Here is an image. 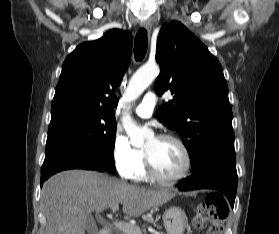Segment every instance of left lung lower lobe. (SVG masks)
<instances>
[{
	"label": "left lung lower lobe",
	"instance_id": "left-lung-lower-lobe-1",
	"mask_svg": "<svg viewBox=\"0 0 279 234\" xmlns=\"http://www.w3.org/2000/svg\"><path fill=\"white\" fill-rule=\"evenodd\" d=\"M236 159L234 155L214 157L203 165L197 172L177 185L181 191L195 189H215L222 192L233 208L237 191Z\"/></svg>",
	"mask_w": 279,
	"mask_h": 234
}]
</instances>
